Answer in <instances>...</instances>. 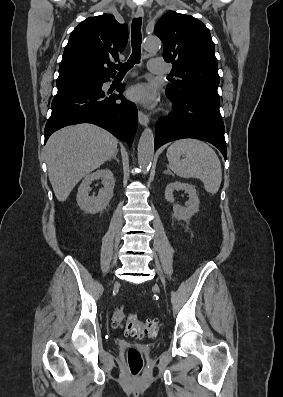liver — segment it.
I'll list each match as a JSON object with an SVG mask.
<instances>
[{
    "instance_id": "6515ba94",
    "label": "liver",
    "mask_w": 283,
    "mask_h": 397,
    "mask_svg": "<svg viewBox=\"0 0 283 397\" xmlns=\"http://www.w3.org/2000/svg\"><path fill=\"white\" fill-rule=\"evenodd\" d=\"M118 140L93 124L58 130L45 146L48 176L56 198L63 202L76 184L116 152Z\"/></svg>"
}]
</instances>
